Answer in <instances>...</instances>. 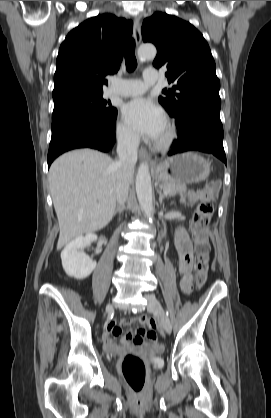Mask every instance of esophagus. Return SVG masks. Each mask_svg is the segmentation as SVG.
I'll return each instance as SVG.
<instances>
[{
  "label": "esophagus",
  "mask_w": 271,
  "mask_h": 418,
  "mask_svg": "<svg viewBox=\"0 0 271 418\" xmlns=\"http://www.w3.org/2000/svg\"><path fill=\"white\" fill-rule=\"evenodd\" d=\"M134 38L136 45H139L141 42V29H140V22L137 17L134 18ZM139 157L141 160H147L150 162V164H153V162L150 160V157L145 149H140L139 151Z\"/></svg>",
  "instance_id": "obj_1"
}]
</instances>
